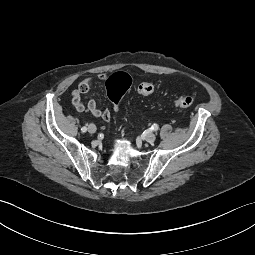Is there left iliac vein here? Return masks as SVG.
Masks as SVG:
<instances>
[{"label":"left iliac vein","instance_id":"1","mask_svg":"<svg viewBox=\"0 0 255 255\" xmlns=\"http://www.w3.org/2000/svg\"><path fill=\"white\" fill-rule=\"evenodd\" d=\"M156 139V135L154 133H148L145 135V140L149 143L154 142Z\"/></svg>","mask_w":255,"mask_h":255}]
</instances>
